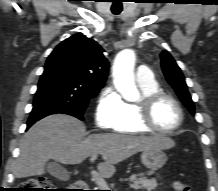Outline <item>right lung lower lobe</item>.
<instances>
[{
  "instance_id": "1",
  "label": "right lung lower lobe",
  "mask_w": 218,
  "mask_h": 191,
  "mask_svg": "<svg viewBox=\"0 0 218 191\" xmlns=\"http://www.w3.org/2000/svg\"><path fill=\"white\" fill-rule=\"evenodd\" d=\"M55 113H63L68 114L74 117H77L80 120H83V114H79L77 112H74L72 110L63 109L53 104H43L39 105L37 107H34L32 109V112L30 114V117L27 122V128H29L31 125H33L36 121Z\"/></svg>"
}]
</instances>
